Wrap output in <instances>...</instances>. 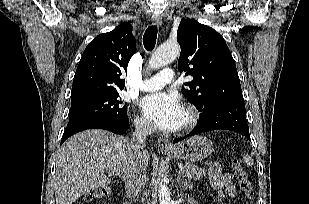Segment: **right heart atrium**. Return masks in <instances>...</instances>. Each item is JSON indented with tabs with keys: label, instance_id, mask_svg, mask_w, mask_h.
<instances>
[{
	"label": "right heart atrium",
	"instance_id": "right-heart-atrium-1",
	"mask_svg": "<svg viewBox=\"0 0 309 204\" xmlns=\"http://www.w3.org/2000/svg\"><path fill=\"white\" fill-rule=\"evenodd\" d=\"M136 128L143 133H150L153 130L151 123L143 116H136L134 119Z\"/></svg>",
	"mask_w": 309,
	"mask_h": 204
}]
</instances>
